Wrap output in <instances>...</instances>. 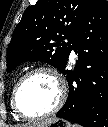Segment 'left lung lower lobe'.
<instances>
[{"mask_svg": "<svg viewBox=\"0 0 108 127\" xmlns=\"http://www.w3.org/2000/svg\"><path fill=\"white\" fill-rule=\"evenodd\" d=\"M73 49L79 59L74 70L65 71L69 96L56 116L84 127H108V4L105 0H87L74 34Z\"/></svg>", "mask_w": 108, "mask_h": 127, "instance_id": "obj_1", "label": "left lung lower lobe"}]
</instances>
